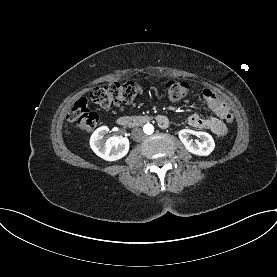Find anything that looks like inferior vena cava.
Returning <instances> with one entry per match:
<instances>
[{"mask_svg":"<svg viewBox=\"0 0 277 277\" xmlns=\"http://www.w3.org/2000/svg\"><path fill=\"white\" fill-rule=\"evenodd\" d=\"M145 136V133L140 128H135L132 131V138L137 142L143 141Z\"/></svg>","mask_w":277,"mask_h":277,"instance_id":"602c4592","label":"inferior vena cava"}]
</instances>
